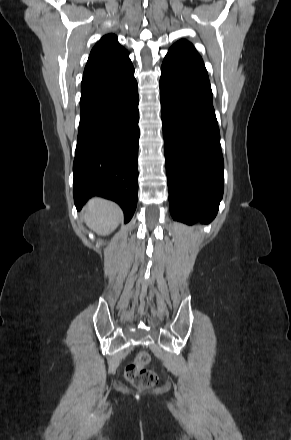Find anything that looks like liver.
Listing matches in <instances>:
<instances>
[{"label":"liver","instance_id":"6515ba94","mask_svg":"<svg viewBox=\"0 0 291 440\" xmlns=\"http://www.w3.org/2000/svg\"><path fill=\"white\" fill-rule=\"evenodd\" d=\"M122 212L115 203L95 198L90 200L84 209V220L89 228L98 235H109L119 225Z\"/></svg>","mask_w":291,"mask_h":440}]
</instances>
